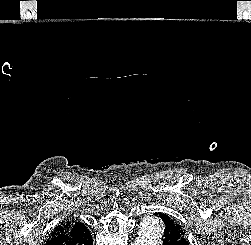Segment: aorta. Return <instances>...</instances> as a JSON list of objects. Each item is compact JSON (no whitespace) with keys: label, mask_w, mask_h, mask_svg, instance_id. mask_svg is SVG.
Masks as SVG:
<instances>
[{"label":"aorta","mask_w":251,"mask_h":245,"mask_svg":"<svg viewBox=\"0 0 251 245\" xmlns=\"http://www.w3.org/2000/svg\"><path fill=\"white\" fill-rule=\"evenodd\" d=\"M162 226L159 219L152 216L144 217L140 223L138 237L133 245H158Z\"/></svg>","instance_id":"1"}]
</instances>
